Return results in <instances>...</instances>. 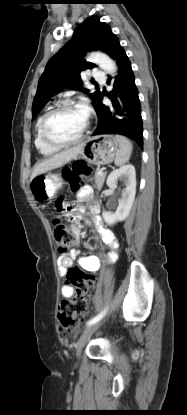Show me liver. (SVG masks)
Listing matches in <instances>:
<instances>
[{
    "label": "liver",
    "mask_w": 187,
    "mask_h": 415,
    "mask_svg": "<svg viewBox=\"0 0 187 415\" xmlns=\"http://www.w3.org/2000/svg\"><path fill=\"white\" fill-rule=\"evenodd\" d=\"M82 149L83 144H80L44 159L42 162L35 166L30 180L34 179L36 176L42 173L59 168L72 159H75L77 155L81 153Z\"/></svg>",
    "instance_id": "1"
}]
</instances>
